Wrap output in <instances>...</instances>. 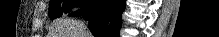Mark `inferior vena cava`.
<instances>
[{
	"label": "inferior vena cava",
	"instance_id": "inferior-vena-cava-1",
	"mask_svg": "<svg viewBox=\"0 0 219 37\" xmlns=\"http://www.w3.org/2000/svg\"><path fill=\"white\" fill-rule=\"evenodd\" d=\"M84 25V24H83ZM87 29V27L84 25V28H83V31H85ZM82 33H84V32H82Z\"/></svg>",
	"mask_w": 219,
	"mask_h": 37
}]
</instances>
